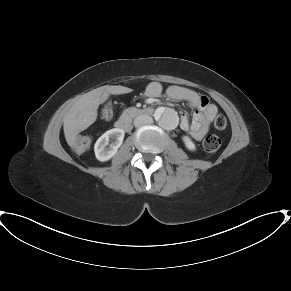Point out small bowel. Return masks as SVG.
<instances>
[{
  "instance_id": "c3829d8e",
  "label": "small bowel",
  "mask_w": 291,
  "mask_h": 291,
  "mask_svg": "<svg viewBox=\"0 0 291 291\" xmlns=\"http://www.w3.org/2000/svg\"><path fill=\"white\" fill-rule=\"evenodd\" d=\"M166 93L169 98L186 101L195 109L191 121L186 116L181 117L180 126L193 138L202 139L209 130L210 122L217 114V106L211 103L206 96L182 86H171ZM146 94L150 98H158L161 94V85L158 82L150 83Z\"/></svg>"
}]
</instances>
